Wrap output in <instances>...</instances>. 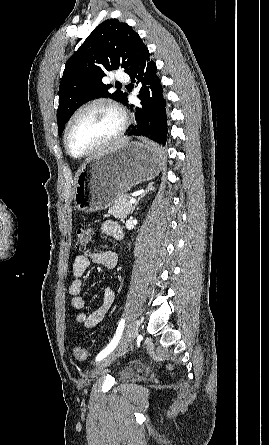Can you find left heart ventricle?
<instances>
[{"mask_svg":"<svg viewBox=\"0 0 269 445\" xmlns=\"http://www.w3.org/2000/svg\"><path fill=\"white\" fill-rule=\"evenodd\" d=\"M120 124L119 117L105 107H94L82 112L72 123L68 146L72 153L83 154L112 136Z\"/></svg>","mask_w":269,"mask_h":445,"instance_id":"left-heart-ventricle-1","label":"left heart ventricle"}]
</instances>
